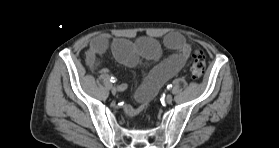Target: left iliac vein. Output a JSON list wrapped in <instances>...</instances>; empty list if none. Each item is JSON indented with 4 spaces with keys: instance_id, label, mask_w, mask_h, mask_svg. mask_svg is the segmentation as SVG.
<instances>
[{
    "instance_id": "1",
    "label": "left iliac vein",
    "mask_w": 279,
    "mask_h": 148,
    "mask_svg": "<svg viewBox=\"0 0 279 148\" xmlns=\"http://www.w3.org/2000/svg\"><path fill=\"white\" fill-rule=\"evenodd\" d=\"M172 101H173V96L170 95V94L167 95V96H166V102H167V103H171Z\"/></svg>"
}]
</instances>
